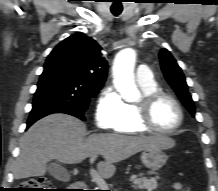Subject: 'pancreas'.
I'll use <instances>...</instances> for the list:
<instances>
[{"label": "pancreas", "mask_w": 218, "mask_h": 191, "mask_svg": "<svg viewBox=\"0 0 218 191\" xmlns=\"http://www.w3.org/2000/svg\"><path fill=\"white\" fill-rule=\"evenodd\" d=\"M156 179L157 178L148 179L146 177L137 178L135 175L130 178L135 188L146 189L147 191H153L157 188L158 184Z\"/></svg>", "instance_id": "obj_1"}]
</instances>
